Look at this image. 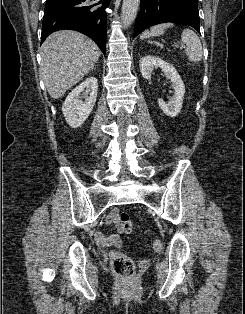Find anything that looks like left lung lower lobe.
<instances>
[{
    "label": "left lung lower lobe",
    "mask_w": 245,
    "mask_h": 314,
    "mask_svg": "<svg viewBox=\"0 0 245 314\" xmlns=\"http://www.w3.org/2000/svg\"><path fill=\"white\" fill-rule=\"evenodd\" d=\"M135 22L134 37L144 29L160 23L179 22L192 26L200 33L197 5L184 0H141Z\"/></svg>",
    "instance_id": "0a47b994"
}]
</instances>
